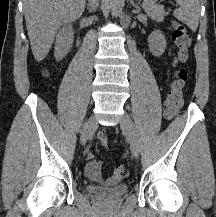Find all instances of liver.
<instances>
[{
  "instance_id": "6515ba94",
  "label": "liver",
  "mask_w": 216,
  "mask_h": 217,
  "mask_svg": "<svg viewBox=\"0 0 216 217\" xmlns=\"http://www.w3.org/2000/svg\"><path fill=\"white\" fill-rule=\"evenodd\" d=\"M86 0H24L25 22L36 61H42L53 44L57 30L75 21Z\"/></svg>"
}]
</instances>
